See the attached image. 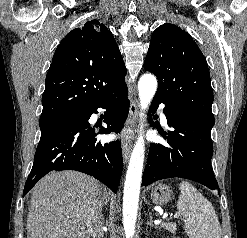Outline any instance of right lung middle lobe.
I'll return each instance as SVG.
<instances>
[{
	"mask_svg": "<svg viewBox=\"0 0 247 238\" xmlns=\"http://www.w3.org/2000/svg\"><path fill=\"white\" fill-rule=\"evenodd\" d=\"M74 116H75V114H71V115L60 116V117H56V118H51V119L39 121L41 134L64 124L68 120H71Z\"/></svg>",
	"mask_w": 247,
	"mask_h": 238,
	"instance_id": "1",
	"label": "right lung middle lobe"
}]
</instances>
